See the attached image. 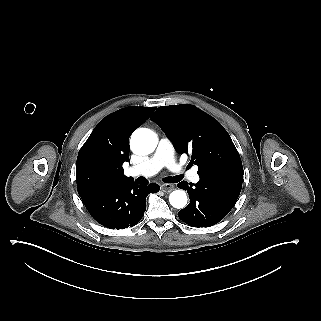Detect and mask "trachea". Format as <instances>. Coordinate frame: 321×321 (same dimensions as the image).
<instances>
[{"instance_id":"3493384b","label":"trachea","mask_w":321,"mask_h":321,"mask_svg":"<svg viewBox=\"0 0 321 321\" xmlns=\"http://www.w3.org/2000/svg\"><path fill=\"white\" fill-rule=\"evenodd\" d=\"M184 178L183 175H177V176H169L163 179L164 182L166 183H177L180 182L182 179ZM137 184L140 185H147L148 184V180L144 177H139L138 179H136L135 181Z\"/></svg>"}]
</instances>
